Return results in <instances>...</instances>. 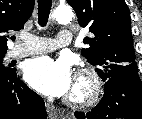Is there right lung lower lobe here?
<instances>
[{
    "label": "right lung lower lobe",
    "instance_id": "obj_1",
    "mask_svg": "<svg viewBox=\"0 0 142 119\" xmlns=\"http://www.w3.org/2000/svg\"><path fill=\"white\" fill-rule=\"evenodd\" d=\"M44 101L17 78L16 70L0 75V119H46Z\"/></svg>",
    "mask_w": 142,
    "mask_h": 119
}]
</instances>
